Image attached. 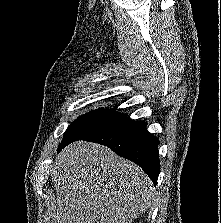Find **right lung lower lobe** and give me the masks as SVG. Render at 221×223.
<instances>
[{
	"mask_svg": "<svg viewBox=\"0 0 221 223\" xmlns=\"http://www.w3.org/2000/svg\"><path fill=\"white\" fill-rule=\"evenodd\" d=\"M146 126L147 123L144 121H133L124 117L110 126L89 133L77 140L90 141L109 147L117 155L139 165L153 183L157 184L160 173L157 150L159 141L146 130Z\"/></svg>",
	"mask_w": 221,
	"mask_h": 223,
	"instance_id": "1",
	"label": "right lung lower lobe"
}]
</instances>
